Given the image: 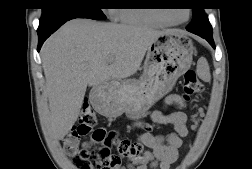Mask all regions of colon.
I'll return each mask as SVG.
<instances>
[{
    "label": "colon",
    "mask_w": 252,
    "mask_h": 169,
    "mask_svg": "<svg viewBox=\"0 0 252 169\" xmlns=\"http://www.w3.org/2000/svg\"><path fill=\"white\" fill-rule=\"evenodd\" d=\"M203 91V85L194 69H188L183 76V94L185 99ZM97 122L90 105L85 104L79 116V124L64 139L66 150L76 169H114L123 158L137 160L143 154V146L135 140L123 137L117 130L97 129L93 135L99 147L89 142H80ZM115 148L116 153L112 152Z\"/></svg>",
    "instance_id": "colon-1"
}]
</instances>
